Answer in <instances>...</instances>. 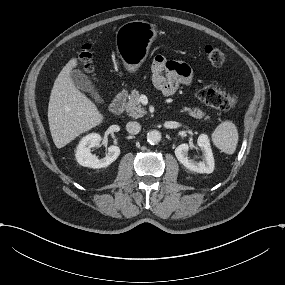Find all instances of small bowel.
Wrapping results in <instances>:
<instances>
[{
  "label": "small bowel",
  "instance_id": "1",
  "mask_svg": "<svg viewBox=\"0 0 285 285\" xmlns=\"http://www.w3.org/2000/svg\"><path fill=\"white\" fill-rule=\"evenodd\" d=\"M152 82L166 96H172L179 85L190 86L194 76L191 68L181 61L156 56L151 65Z\"/></svg>",
  "mask_w": 285,
  "mask_h": 285
}]
</instances>
